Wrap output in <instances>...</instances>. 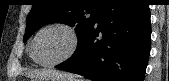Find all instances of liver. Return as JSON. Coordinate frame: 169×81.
<instances>
[{
	"label": "liver",
	"mask_w": 169,
	"mask_h": 81,
	"mask_svg": "<svg viewBox=\"0 0 169 81\" xmlns=\"http://www.w3.org/2000/svg\"><path fill=\"white\" fill-rule=\"evenodd\" d=\"M28 75L31 79H40V78H47L53 76H59L64 78L67 77V75L64 73H61L59 71H51V70L31 71Z\"/></svg>",
	"instance_id": "1"
}]
</instances>
